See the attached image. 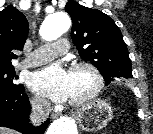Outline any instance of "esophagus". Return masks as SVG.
<instances>
[{"label": "esophagus", "mask_w": 153, "mask_h": 134, "mask_svg": "<svg viewBox=\"0 0 153 134\" xmlns=\"http://www.w3.org/2000/svg\"><path fill=\"white\" fill-rule=\"evenodd\" d=\"M52 117H56V115H52Z\"/></svg>", "instance_id": "34e87169"}]
</instances>
